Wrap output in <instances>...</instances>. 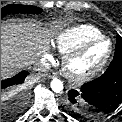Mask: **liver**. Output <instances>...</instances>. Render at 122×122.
<instances>
[{
    "mask_svg": "<svg viewBox=\"0 0 122 122\" xmlns=\"http://www.w3.org/2000/svg\"><path fill=\"white\" fill-rule=\"evenodd\" d=\"M51 29L34 20H10L1 25V79L29 69L48 50Z\"/></svg>",
    "mask_w": 122,
    "mask_h": 122,
    "instance_id": "1",
    "label": "liver"
}]
</instances>
